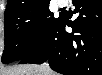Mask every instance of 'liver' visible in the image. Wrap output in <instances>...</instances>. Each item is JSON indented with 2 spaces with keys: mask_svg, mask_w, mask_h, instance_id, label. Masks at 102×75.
<instances>
[{
  "mask_svg": "<svg viewBox=\"0 0 102 75\" xmlns=\"http://www.w3.org/2000/svg\"><path fill=\"white\" fill-rule=\"evenodd\" d=\"M1 75H57L47 64H26L8 68L0 72Z\"/></svg>",
  "mask_w": 102,
  "mask_h": 75,
  "instance_id": "1",
  "label": "liver"
}]
</instances>
